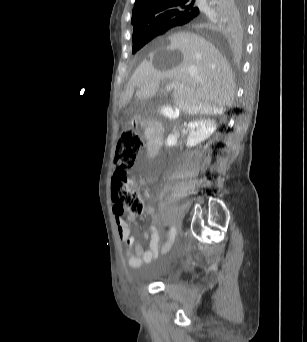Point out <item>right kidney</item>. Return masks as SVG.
<instances>
[{"label": "right kidney", "instance_id": "right-kidney-1", "mask_svg": "<svg viewBox=\"0 0 307 342\" xmlns=\"http://www.w3.org/2000/svg\"><path fill=\"white\" fill-rule=\"evenodd\" d=\"M187 128L190 132L186 146L192 148V146H197L200 142H204V140L210 138L216 130V124L214 120H195V122H189ZM166 144L169 148L170 146H177V136L175 134H169Z\"/></svg>", "mask_w": 307, "mask_h": 342}]
</instances>
